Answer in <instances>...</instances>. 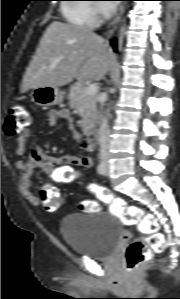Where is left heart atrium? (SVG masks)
<instances>
[{
    "instance_id": "obj_1",
    "label": "left heart atrium",
    "mask_w": 180,
    "mask_h": 299,
    "mask_svg": "<svg viewBox=\"0 0 180 299\" xmlns=\"http://www.w3.org/2000/svg\"><path fill=\"white\" fill-rule=\"evenodd\" d=\"M115 4L113 3H104L102 4L101 6V10L104 12V13H110L112 12L114 9H115Z\"/></svg>"
}]
</instances>
